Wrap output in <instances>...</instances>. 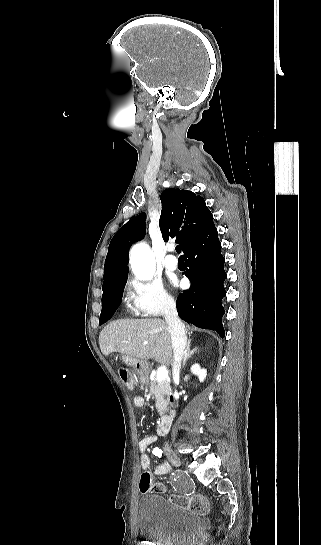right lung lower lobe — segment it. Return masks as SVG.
Here are the masks:
<instances>
[{"mask_svg": "<svg viewBox=\"0 0 321 545\" xmlns=\"http://www.w3.org/2000/svg\"><path fill=\"white\" fill-rule=\"evenodd\" d=\"M184 257L188 269L183 274L189 278L191 287L177 298L179 317L197 327L215 330L224 337L221 301L226 295L223 283L227 275L215 225L186 248ZM121 297L111 296L106 301V319L113 316Z\"/></svg>", "mask_w": 321, "mask_h": 545, "instance_id": "right-lung-lower-lobe-1", "label": "right lung lower lobe"}]
</instances>
